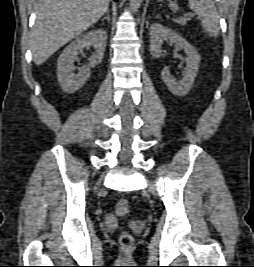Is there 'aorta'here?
Masks as SVG:
<instances>
[{"label":"aorta","instance_id":"obj_1","mask_svg":"<svg viewBox=\"0 0 254 267\" xmlns=\"http://www.w3.org/2000/svg\"><path fill=\"white\" fill-rule=\"evenodd\" d=\"M143 0H130V9L133 13L137 12Z\"/></svg>","mask_w":254,"mask_h":267}]
</instances>
